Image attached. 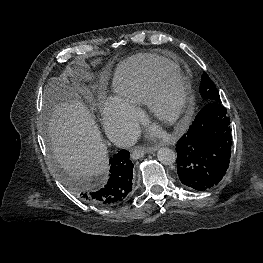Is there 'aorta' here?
Segmentation results:
<instances>
[{
  "label": "aorta",
  "instance_id": "762f6f07",
  "mask_svg": "<svg viewBox=\"0 0 263 263\" xmlns=\"http://www.w3.org/2000/svg\"><path fill=\"white\" fill-rule=\"evenodd\" d=\"M157 158L163 165L169 166L175 163L177 157L173 150L163 147L157 151Z\"/></svg>",
  "mask_w": 263,
  "mask_h": 263
}]
</instances>
